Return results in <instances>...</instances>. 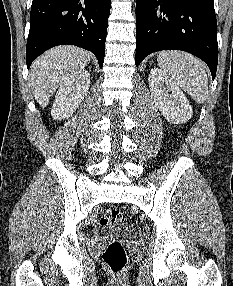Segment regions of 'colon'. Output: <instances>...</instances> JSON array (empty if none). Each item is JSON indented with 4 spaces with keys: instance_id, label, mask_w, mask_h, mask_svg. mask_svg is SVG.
Masks as SVG:
<instances>
[{
    "instance_id": "1",
    "label": "colon",
    "mask_w": 233,
    "mask_h": 286,
    "mask_svg": "<svg viewBox=\"0 0 233 286\" xmlns=\"http://www.w3.org/2000/svg\"><path fill=\"white\" fill-rule=\"evenodd\" d=\"M124 221L123 213L118 209L105 210L100 218V223L104 226H113L121 224ZM103 261L113 273L120 272L126 262L127 256L122 244L114 240L112 241L102 254Z\"/></svg>"
}]
</instances>
